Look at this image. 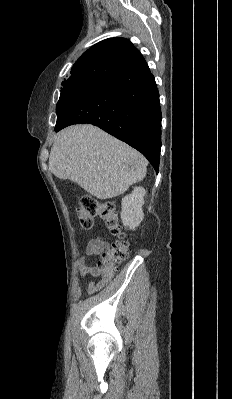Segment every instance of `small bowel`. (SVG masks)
<instances>
[{
  "label": "small bowel",
  "mask_w": 232,
  "mask_h": 399,
  "mask_svg": "<svg viewBox=\"0 0 232 399\" xmlns=\"http://www.w3.org/2000/svg\"><path fill=\"white\" fill-rule=\"evenodd\" d=\"M104 249V245L99 244L94 240H90L86 246V253L80 258L78 262V272L81 277L88 280L86 286V293L92 295L94 292V282L92 278L95 275L94 268L86 263V259L98 256Z\"/></svg>",
  "instance_id": "obj_1"
}]
</instances>
